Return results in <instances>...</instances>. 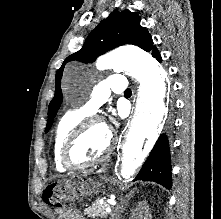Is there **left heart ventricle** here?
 <instances>
[{
    "mask_svg": "<svg viewBox=\"0 0 221 219\" xmlns=\"http://www.w3.org/2000/svg\"><path fill=\"white\" fill-rule=\"evenodd\" d=\"M108 131L101 124L87 127L75 144L72 157L76 162H88L99 157L108 145Z\"/></svg>",
    "mask_w": 221,
    "mask_h": 219,
    "instance_id": "1",
    "label": "left heart ventricle"
}]
</instances>
